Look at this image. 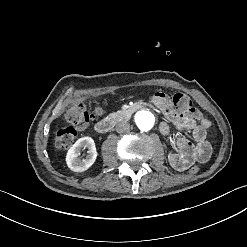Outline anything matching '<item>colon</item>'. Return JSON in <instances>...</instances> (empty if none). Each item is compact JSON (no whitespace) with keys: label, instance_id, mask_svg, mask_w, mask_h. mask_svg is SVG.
Here are the masks:
<instances>
[{"label":"colon","instance_id":"colon-1","mask_svg":"<svg viewBox=\"0 0 247 247\" xmlns=\"http://www.w3.org/2000/svg\"><path fill=\"white\" fill-rule=\"evenodd\" d=\"M173 104L177 109L184 110L189 106L190 98L186 93L179 92L174 96ZM65 119L71 125L59 128L55 134V148L59 151L66 150L74 142L77 135L75 127L84 128L96 120L97 116L90 113L84 104L77 103L66 110ZM198 170V165L189 168L190 173Z\"/></svg>","mask_w":247,"mask_h":247}]
</instances>
